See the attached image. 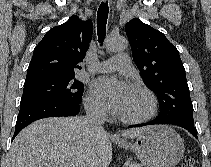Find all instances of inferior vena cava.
I'll list each match as a JSON object with an SVG mask.
<instances>
[{
    "mask_svg": "<svg viewBox=\"0 0 211 167\" xmlns=\"http://www.w3.org/2000/svg\"><path fill=\"white\" fill-rule=\"evenodd\" d=\"M86 128L91 133H101L104 131L105 108L101 104H92L86 109Z\"/></svg>",
    "mask_w": 211,
    "mask_h": 167,
    "instance_id": "obj_1",
    "label": "inferior vena cava"
}]
</instances>
